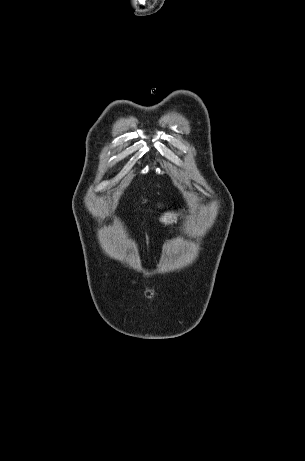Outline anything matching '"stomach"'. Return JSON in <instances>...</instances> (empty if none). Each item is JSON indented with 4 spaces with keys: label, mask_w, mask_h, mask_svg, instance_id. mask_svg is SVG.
<instances>
[{
    "label": "stomach",
    "mask_w": 305,
    "mask_h": 461,
    "mask_svg": "<svg viewBox=\"0 0 305 461\" xmlns=\"http://www.w3.org/2000/svg\"><path fill=\"white\" fill-rule=\"evenodd\" d=\"M159 220L165 225H170L176 222L177 214L174 212H166L159 218Z\"/></svg>",
    "instance_id": "1"
}]
</instances>
